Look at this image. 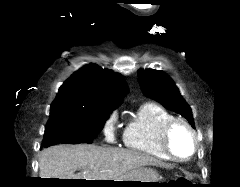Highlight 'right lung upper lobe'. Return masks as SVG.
<instances>
[{
    "label": "right lung upper lobe",
    "mask_w": 240,
    "mask_h": 187,
    "mask_svg": "<svg viewBox=\"0 0 240 187\" xmlns=\"http://www.w3.org/2000/svg\"><path fill=\"white\" fill-rule=\"evenodd\" d=\"M127 83L122 75L92 64L76 71L59 88L55 107L114 110L122 101Z\"/></svg>",
    "instance_id": "obj_1"
}]
</instances>
